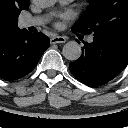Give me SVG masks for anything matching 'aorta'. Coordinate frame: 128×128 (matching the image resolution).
<instances>
[{
	"instance_id": "aorta-1",
	"label": "aorta",
	"mask_w": 128,
	"mask_h": 128,
	"mask_svg": "<svg viewBox=\"0 0 128 128\" xmlns=\"http://www.w3.org/2000/svg\"><path fill=\"white\" fill-rule=\"evenodd\" d=\"M57 0H34V3L41 8H48L53 6ZM63 56L71 61H75L80 58L82 50L80 45L76 41H69L63 46Z\"/></svg>"
}]
</instances>
